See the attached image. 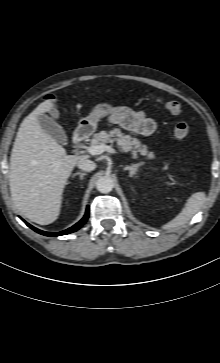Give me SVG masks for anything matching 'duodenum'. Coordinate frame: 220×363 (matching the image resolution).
Here are the masks:
<instances>
[{
  "instance_id": "1",
  "label": "duodenum",
  "mask_w": 220,
  "mask_h": 363,
  "mask_svg": "<svg viewBox=\"0 0 220 363\" xmlns=\"http://www.w3.org/2000/svg\"><path fill=\"white\" fill-rule=\"evenodd\" d=\"M91 134V127L90 126H82L76 129L73 135V143L80 144L84 140H86Z\"/></svg>"
}]
</instances>
